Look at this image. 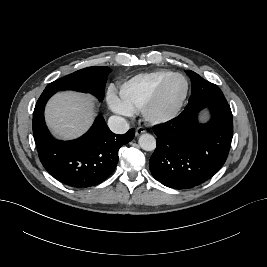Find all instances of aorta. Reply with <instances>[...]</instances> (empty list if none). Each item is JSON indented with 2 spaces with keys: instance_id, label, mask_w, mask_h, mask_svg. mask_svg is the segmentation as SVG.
<instances>
[{
  "instance_id": "762f6f07",
  "label": "aorta",
  "mask_w": 267,
  "mask_h": 267,
  "mask_svg": "<svg viewBox=\"0 0 267 267\" xmlns=\"http://www.w3.org/2000/svg\"><path fill=\"white\" fill-rule=\"evenodd\" d=\"M138 143L145 151H153L156 148V139L153 135L144 133L139 137Z\"/></svg>"
}]
</instances>
